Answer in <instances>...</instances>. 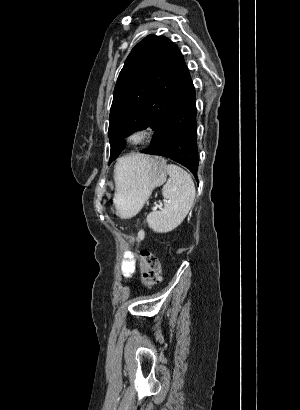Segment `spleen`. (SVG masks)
I'll return each mask as SVG.
<instances>
[{"instance_id":"1","label":"spleen","mask_w":300,"mask_h":410,"mask_svg":"<svg viewBox=\"0 0 300 410\" xmlns=\"http://www.w3.org/2000/svg\"><path fill=\"white\" fill-rule=\"evenodd\" d=\"M128 168L129 160L120 159L115 167V182H119L121 171ZM166 170L170 178L162 189L165 206L161 211L148 214L146 219L148 226L158 233H166L178 227L190 211L196 195L194 182L184 169L169 164Z\"/></svg>"}]
</instances>
